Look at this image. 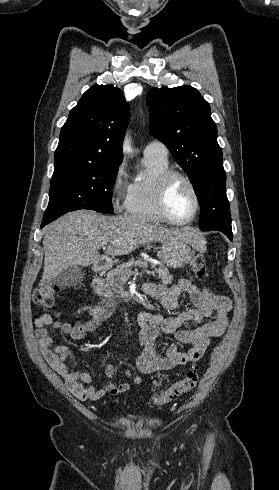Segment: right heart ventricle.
Here are the masks:
<instances>
[{"mask_svg": "<svg viewBox=\"0 0 279 490\" xmlns=\"http://www.w3.org/2000/svg\"><path fill=\"white\" fill-rule=\"evenodd\" d=\"M144 164L147 175L132 184L126 214L142 221L167 222L159 213L157 193L161 176L171 170L169 159L144 157Z\"/></svg>", "mask_w": 279, "mask_h": 490, "instance_id": "1", "label": "right heart ventricle"}]
</instances>
